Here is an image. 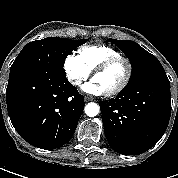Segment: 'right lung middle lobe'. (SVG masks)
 <instances>
[{
    "label": "right lung middle lobe",
    "instance_id": "1",
    "mask_svg": "<svg viewBox=\"0 0 178 178\" xmlns=\"http://www.w3.org/2000/svg\"><path fill=\"white\" fill-rule=\"evenodd\" d=\"M87 40L47 37L28 43L16 57L10 69L13 74L53 72L66 76L63 65L66 57Z\"/></svg>",
    "mask_w": 178,
    "mask_h": 178
}]
</instances>
